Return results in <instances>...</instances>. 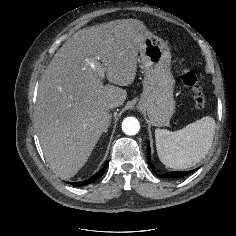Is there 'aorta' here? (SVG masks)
<instances>
[{
	"label": "aorta",
	"instance_id": "aorta-1",
	"mask_svg": "<svg viewBox=\"0 0 236 236\" xmlns=\"http://www.w3.org/2000/svg\"><path fill=\"white\" fill-rule=\"evenodd\" d=\"M122 130L126 135H135L140 130L139 121L135 117H126L122 122Z\"/></svg>",
	"mask_w": 236,
	"mask_h": 236
}]
</instances>
